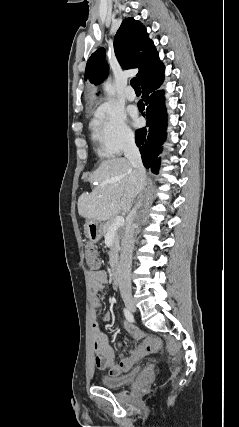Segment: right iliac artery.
Instances as JSON below:
<instances>
[{
    "instance_id": "obj_1",
    "label": "right iliac artery",
    "mask_w": 239,
    "mask_h": 427,
    "mask_svg": "<svg viewBox=\"0 0 239 427\" xmlns=\"http://www.w3.org/2000/svg\"><path fill=\"white\" fill-rule=\"evenodd\" d=\"M124 315H125L126 319H127L129 322H133V321H134L133 315H132V314H131V312H130L128 309H126V308H124Z\"/></svg>"
}]
</instances>
